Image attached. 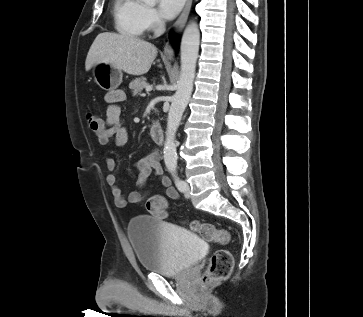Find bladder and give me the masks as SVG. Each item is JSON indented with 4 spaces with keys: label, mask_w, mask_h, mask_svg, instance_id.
Instances as JSON below:
<instances>
[{
    "label": "bladder",
    "mask_w": 363,
    "mask_h": 317,
    "mask_svg": "<svg viewBox=\"0 0 363 317\" xmlns=\"http://www.w3.org/2000/svg\"><path fill=\"white\" fill-rule=\"evenodd\" d=\"M128 234L142 269L165 276L185 272L207 251L201 235L149 216L132 219Z\"/></svg>",
    "instance_id": "31cf9c89"
}]
</instances>
